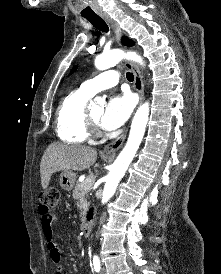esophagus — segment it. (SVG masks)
<instances>
[{
	"mask_svg": "<svg viewBox=\"0 0 221 274\" xmlns=\"http://www.w3.org/2000/svg\"><path fill=\"white\" fill-rule=\"evenodd\" d=\"M101 17L112 27L113 31L115 32L117 40L120 42L123 36V32L121 28L119 27V25L117 24V22H115L112 18H110L106 14H101ZM126 67L131 69L134 74V87L139 94V104H141L144 100V83H143L140 71L137 68V66L130 61L126 62ZM126 135H127V129L120 136H118L114 141L107 144L104 147V152L108 154H115L122 147L126 139Z\"/></svg>",
	"mask_w": 221,
	"mask_h": 274,
	"instance_id": "1",
	"label": "esophagus"
}]
</instances>
